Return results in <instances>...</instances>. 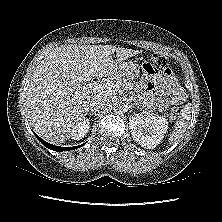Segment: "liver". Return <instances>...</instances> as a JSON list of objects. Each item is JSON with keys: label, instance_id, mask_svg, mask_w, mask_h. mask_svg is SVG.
I'll return each mask as SVG.
<instances>
[{"label": "liver", "instance_id": "liver-1", "mask_svg": "<svg viewBox=\"0 0 222 222\" xmlns=\"http://www.w3.org/2000/svg\"><path fill=\"white\" fill-rule=\"evenodd\" d=\"M115 52L117 61L111 57ZM139 53L112 45H62L52 50L36 67L26 92V113L36 134L52 144L68 140L97 95L83 84L119 73L123 61Z\"/></svg>", "mask_w": 222, "mask_h": 222}]
</instances>
